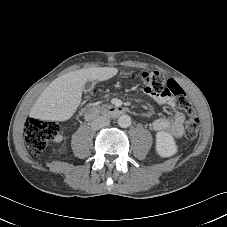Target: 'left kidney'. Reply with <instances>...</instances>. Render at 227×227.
<instances>
[{
	"mask_svg": "<svg viewBox=\"0 0 227 227\" xmlns=\"http://www.w3.org/2000/svg\"><path fill=\"white\" fill-rule=\"evenodd\" d=\"M156 150L162 157H170L177 152V145L174 138L167 132L156 134Z\"/></svg>",
	"mask_w": 227,
	"mask_h": 227,
	"instance_id": "1",
	"label": "left kidney"
}]
</instances>
